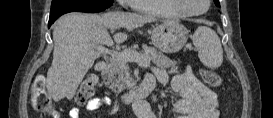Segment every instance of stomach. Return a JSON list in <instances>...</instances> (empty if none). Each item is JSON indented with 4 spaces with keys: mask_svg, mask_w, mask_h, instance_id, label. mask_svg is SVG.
Wrapping results in <instances>:
<instances>
[{
    "mask_svg": "<svg viewBox=\"0 0 273 118\" xmlns=\"http://www.w3.org/2000/svg\"><path fill=\"white\" fill-rule=\"evenodd\" d=\"M189 31L176 21H164L151 30L152 44L164 53H175L183 48Z\"/></svg>",
    "mask_w": 273,
    "mask_h": 118,
    "instance_id": "1",
    "label": "stomach"
}]
</instances>
